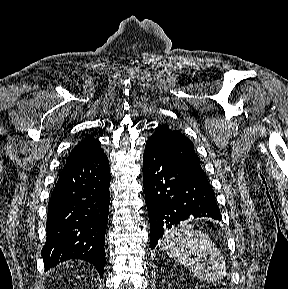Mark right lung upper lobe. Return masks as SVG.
<instances>
[{"mask_svg": "<svg viewBox=\"0 0 288 289\" xmlns=\"http://www.w3.org/2000/svg\"><path fill=\"white\" fill-rule=\"evenodd\" d=\"M101 152H103V150L100 147L99 140L95 139L92 136H89L84 140H82L81 142H79V144L73 148L70 155L66 159V163L89 158Z\"/></svg>", "mask_w": 288, "mask_h": 289, "instance_id": "right-lung-upper-lobe-1", "label": "right lung upper lobe"}]
</instances>
